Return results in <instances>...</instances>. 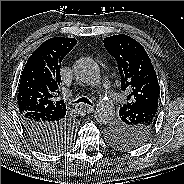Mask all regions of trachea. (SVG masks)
Wrapping results in <instances>:
<instances>
[{"label":"trachea","instance_id":"trachea-1","mask_svg":"<svg viewBox=\"0 0 184 184\" xmlns=\"http://www.w3.org/2000/svg\"><path fill=\"white\" fill-rule=\"evenodd\" d=\"M73 103H87L89 105H92V103L90 102V100L88 98H86V97H81V98H79L78 100H76Z\"/></svg>","mask_w":184,"mask_h":184}]
</instances>
